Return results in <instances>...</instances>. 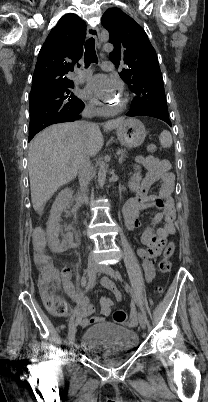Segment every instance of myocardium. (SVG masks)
I'll use <instances>...</instances> for the list:
<instances>
[{"instance_id": "obj_1", "label": "myocardium", "mask_w": 208, "mask_h": 402, "mask_svg": "<svg viewBox=\"0 0 208 402\" xmlns=\"http://www.w3.org/2000/svg\"><path fill=\"white\" fill-rule=\"evenodd\" d=\"M122 92V97H120L118 100H116V103L120 106V107H125L126 104L129 101V98L127 95L123 94V89H121Z\"/></svg>"}]
</instances>
